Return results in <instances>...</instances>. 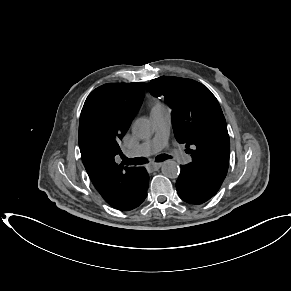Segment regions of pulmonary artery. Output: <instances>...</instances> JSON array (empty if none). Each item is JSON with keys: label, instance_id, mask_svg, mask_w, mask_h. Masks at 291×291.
Returning <instances> with one entry per match:
<instances>
[{"label": "pulmonary artery", "instance_id": "obj_1", "mask_svg": "<svg viewBox=\"0 0 291 291\" xmlns=\"http://www.w3.org/2000/svg\"><path fill=\"white\" fill-rule=\"evenodd\" d=\"M155 132L152 138L145 140L134 150L128 151V157H147L165 148L168 144L170 129V113L167 109L151 113ZM173 158L181 163H187L190 157L182 150H172Z\"/></svg>", "mask_w": 291, "mask_h": 291}]
</instances>
